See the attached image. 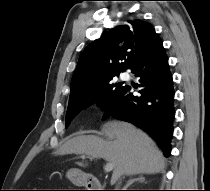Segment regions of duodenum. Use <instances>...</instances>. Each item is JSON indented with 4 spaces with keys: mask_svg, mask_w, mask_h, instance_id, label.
I'll list each match as a JSON object with an SVG mask.
<instances>
[{
    "mask_svg": "<svg viewBox=\"0 0 210 191\" xmlns=\"http://www.w3.org/2000/svg\"><path fill=\"white\" fill-rule=\"evenodd\" d=\"M81 181L89 191H101L102 189L101 181L92 175L81 174Z\"/></svg>",
    "mask_w": 210,
    "mask_h": 191,
    "instance_id": "410a0bca",
    "label": "duodenum"
}]
</instances>
